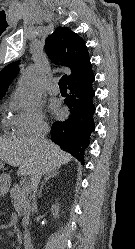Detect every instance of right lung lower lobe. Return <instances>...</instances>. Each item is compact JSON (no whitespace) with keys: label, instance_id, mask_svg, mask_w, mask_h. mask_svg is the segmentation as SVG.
<instances>
[{"label":"right lung lower lobe","instance_id":"obj_1","mask_svg":"<svg viewBox=\"0 0 135 249\" xmlns=\"http://www.w3.org/2000/svg\"><path fill=\"white\" fill-rule=\"evenodd\" d=\"M94 78V74H91L84 80L68 85L70 95L65 98V104L69 107L70 116L63 122H55L51 129L52 141L83 164L84 151L95 129Z\"/></svg>","mask_w":135,"mask_h":249}]
</instances>
